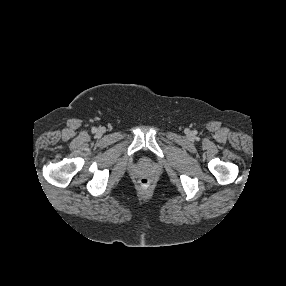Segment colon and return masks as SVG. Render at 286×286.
Wrapping results in <instances>:
<instances>
[{"label": "colon", "mask_w": 286, "mask_h": 286, "mask_svg": "<svg viewBox=\"0 0 286 286\" xmlns=\"http://www.w3.org/2000/svg\"><path fill=\"white\" fill-rule=\"evenodd\" d=\"M139 183H140V186H141L142 188H147V187L150 185L151 181H150V179L147 178V177H142V178L139 180Z\"/></svg>", "instance_id": "obj_1"}]
</instances>
